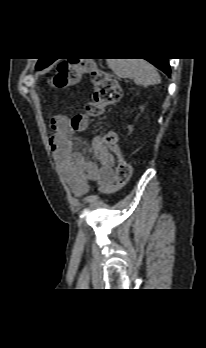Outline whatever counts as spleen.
<instances>
[{"instance_id":"3e777b00","label":"spleen","mask_w":206,"mask_h":348,"mask_svg":"<svg viewBox=\"0 0 206 348\" xmlns=\"http://www.w3.org/2000/svg\"><path fill=\"white\" fill-rule=\"evenodd\" d=\"M107 64L118 77L133 79L135 84L143 87L161 81L155 67L144 59H108Z\"/></svg>"}]
</instances>
